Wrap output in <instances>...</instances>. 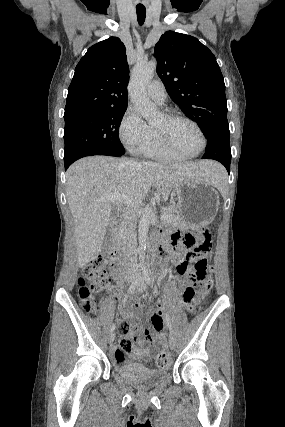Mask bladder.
<instances>
[{
    "label": "bladder",
    "mask_w": 285,
    "mask_h": 427,
    "mask_svg": "<svg viewBox=\"0 0 285 427\" xmlns=\"http://www.w3.org/2000/svg\"><path fill=\"white\" fill-rule=\"evenodd\" d=\"M115 372L127 383L139 389H148L156 386L166 378L163 369H151L139 363H130L115 369Z\"/></svg>",
    "instance_id": "31cf9c89"
}]
</instances>
